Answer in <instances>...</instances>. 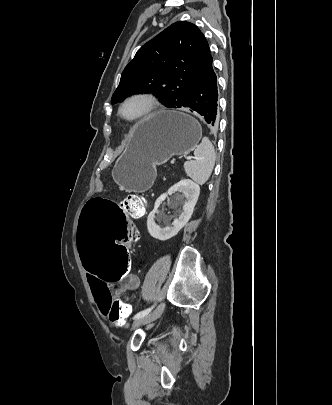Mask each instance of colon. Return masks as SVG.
Wrapping results in <instances>:
<instances>
[{"label": "colon", "mask_w": 332, "mask_h": 405, "mask_svg": "<svg viewBox=\"0 0 332 405\" xmlns=\"http://www.w3.org/2000/svg\"><path fill=\"white\" fill-rule=\"evenodd\" d=\"M121 206L111 197H89L81 219L76 220L77 248L81 268L87 275H100L101 281H123L130 273L131 249H136L139 227L130 220V211L142 214L145 204L137 194L127 196ZM133 314L132 307L110 296L106 309L108 320L123 325Z\"/></svg>", "instance_id": "colon-1"}]
</instances>
